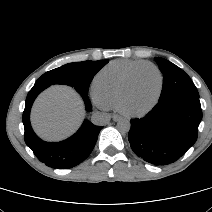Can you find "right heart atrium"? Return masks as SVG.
Returning <instances> with one entry per match:
<instances>
[{"label": "right heart atrium", "instance_id": "right-heart-atrium-1", "mask_svg": "<svg viewBox=\"0 0 212 212\" xmlns=\"http://www.w3.org/2000/svg\"><path fill=\"white\" fill-rule=\"evenodd\" d=\"M91 98L94 104L101 109H108L110 107L95 88H93L91 91Z\"/></svg>", "mask_w": 212, "mask_h": 212}]
</instances>
